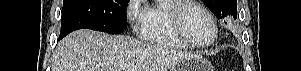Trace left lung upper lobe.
I'll list each match as a JSON object with an SVG mask.
<instances>
[{"label":"left lung upper lobe","instance_id":"obj_1","mask_svg":"<svg viewBox=\"0 0 301 71\" xmlns=\"http://www.w3.org/2000/svg\"><path fill=\"white\" fill-rule=\"evenodd\" d=\"M218 19L227 15L237 18V0H203Z\"/></svg>","mask_w":301,"mask_h":71}]
</instances>
